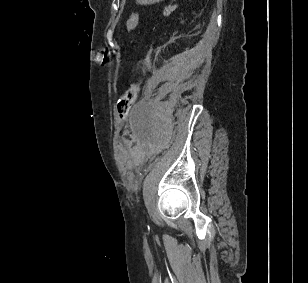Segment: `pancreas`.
I'll list each match as a JSON object with an SVG mask.
<instances>
[{"label":"pancreas","mask_w":308,"mask_h":283,"mask_svg":"<svg viewBox=\"0 0 308 283\" xmlns=\"http://www.w3.org/2000/svg\"><path fill=\"white\" fill-rule=\"evenodd\" d=\"M170 12H171V8L167 7V8H165L164 15L168 16L170 14Z\"/></svg>","instance_id":"cf45deb5"}]
</instances>
